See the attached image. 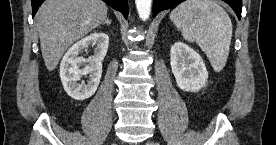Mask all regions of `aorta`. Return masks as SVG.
Masks as SVG:
<instances>
[{
  "label": "aorta",
  "instance_id": "1",
  "mask_svg": "<svg viewBox=\"0 0 276 145\" xmlns=\"http://www.w3.org/2000/svg\"><path fill=\"white\" fill-rule=\"evenodd\" d=\"M151 3L152 0H135L136 8L139 14V17L146 21L148 20L151 12Z\"/></svg>",
  "mask_w": 276,
  "mask_h": 145
}]
</instances>
